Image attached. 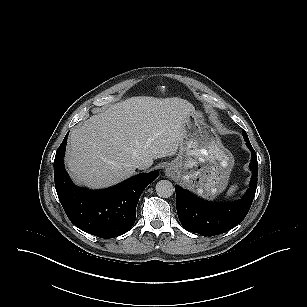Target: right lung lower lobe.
<instances>
[{
    "label": "right lung lower lobe",
    "mask_w": 307,
    "mask_h": 307,
    "mask_svg": "<svg viewBox=\"0 0 307 307\" xmlns=\"http://www.w3.org/2000/svg\"><path fill=\"white\" fill-rule=\"evenodd\" d=\"M67 135L56 151L54 179L58 198L70 221L79 229L101 238L126 233L136 219V207L143 190L158 177V171L139 174L106 190L75 186L65 168Z\"/></svg>",
    "instance_id": "1"
}]
</instances>
